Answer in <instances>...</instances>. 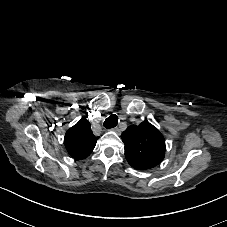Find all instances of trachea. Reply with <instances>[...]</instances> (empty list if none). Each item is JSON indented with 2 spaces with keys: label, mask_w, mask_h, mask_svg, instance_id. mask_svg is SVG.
<instances>
[{
  "label": "trachea",
  "mask_w": 227,
  "mask_h": 227,
  "mask_svg": "<svg viewBox=\"0 0 227 227\" xmlns=\"http://www.w3.org/2000/svg\"><path fill=\"white\" fill-rule=\"evenodd\" d=\"M117 124H118V116L116 114H112L108 118H106L103 126L107 129H111L116 127Z\"/></svg>",
  "instance_id": "1"
}]
</instances>
